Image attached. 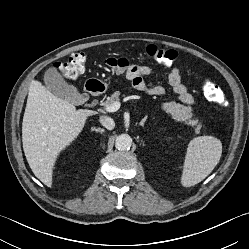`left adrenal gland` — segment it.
I'll return each instance as SVG.
<instances>
[{
	"label": "left adrenal gland",
	"instance_id": "left-adrenal-gland-1",
	"mask_svg": "<svg viewBox=\"0 0 249 249\" xmlns=\"http://www.w3.org/2000/svg\"><path fill=\"white\" fill-rule=\"evenodd\" d=\"M146 119H147V116H145V117L141 120V122L139 123L140 126L144 127V123H145Z\"/></svg>",
	"mask_w": 249,
	"mask_h": 249
}]
</instances>
